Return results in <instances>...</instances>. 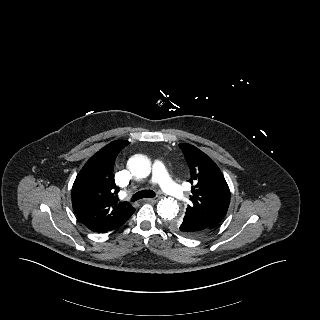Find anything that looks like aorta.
<instances>
[{"mask_svg":"<svg viewBox=\"0 0 320 320\" xmlns=\"http://www.w3.org/2000/svg\"><path fill=\"white\" fill-rule=\"evenodd\" d=\"M131 174L139 179L146 178L151 173V164L149 159L141 154L133 155L127 163ZM179 210L178 202L173 198H165L157 204V212L159 216L166 221H175Z\"/></svg>","mask_w":320,"mask_h":320,"instance_id":"aorta-1","label":"aorta"}]
</instances>
